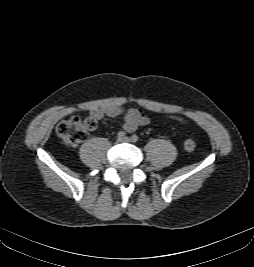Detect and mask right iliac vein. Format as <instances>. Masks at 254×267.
<instances>
[{
	"instance_id": "right-iliac-vein-1",
	"label": "right iliac vein",
	"mask_w": 254,
	"mask_h": 267,
	"mask_svg": "<svg viewBox=\"0 0 254 267\" xmlns=\"http://www.w3.org/2000/svg\"><path fill=\"white\" fill-rule=\"evenodd\" d=\"M120 141H121V139H118V140H117V142H120Z\"/></svg>"
}]
</instances>
